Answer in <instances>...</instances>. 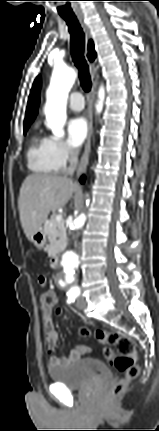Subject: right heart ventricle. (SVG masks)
I'll list each match as a JSON object with an SVG mask.
<instances>
[{"label":"right heart ventricle","mask_w":159,"mask_h":431,"mask_svg":"<svg viewBox=\"0 0 159 431\" xmlns=\"http://www.w3.org/2000/svg\"><path fill=\"white\" fill-rule=\"evenodd\" d=\"M28 167L37 173H51L54 171L47 156L45 140L37 135L31 139L27 151Z\"/></svg>","instance_id":"right-heart-ventricle-1"}]
</instances>
